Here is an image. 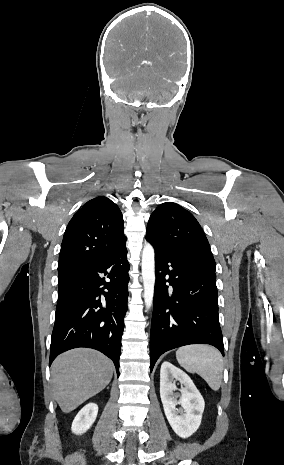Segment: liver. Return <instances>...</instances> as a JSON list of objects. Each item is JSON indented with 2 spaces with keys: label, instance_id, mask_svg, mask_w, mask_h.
<instances>
[{
  "label": "liver",
  "instance_id": "obj_1",
  "mask_svg": "<svg viewBox=\"0 0 284 465\" xmlns=\"http://www.w3.org/2000/svg\"><path fill=\"white\" fill-rule=\"evenodd\" d=\"M51 373L55 401L71 413L110 383L113 363L98 351L74 349L55 359Z\"/></svg>",
  "mask_w": 284,
  "mask_h": 465
}]
</instances>
